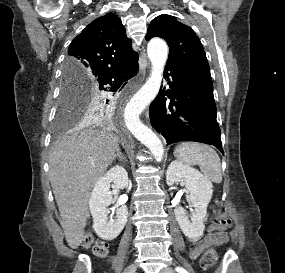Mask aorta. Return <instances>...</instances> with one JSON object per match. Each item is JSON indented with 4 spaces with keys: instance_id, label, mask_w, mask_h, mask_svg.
Here are the masks:
<instances>
[{
    "instance_id": "1",
    "label": "aorta",
    "mask_w": 285,
    "mask_h": 273,
    "mask_svg": "<svg viewBox=\"0 0 285 273\" xmlns=\"http://www.w3.org/2000/svg\"><path fill=\"white\" fill-rule=\"evenodd\" d=\"M152 70L142 88L131 98L125 109V122L130 132L152 152L157 161L164 156V148L157 135L139 119L140 113L157 96L168 58V47L164 40L154 38L147 45Z\"/></svg>"
}]
</instances>
